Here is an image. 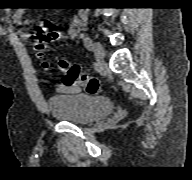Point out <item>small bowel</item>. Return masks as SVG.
<instances>
[{"instance_id": "obj_1", "label": "small bowel", "mask_w": 192, "mask_h": 180, "mask_svg": "<svg viewBox=\"0 0 192 180\" xmlns=\"http://www.w3.org/2000/svg\"><path fill=\"white\" fill-rule=\"evenodd\" d=\"M86 19V15L84 12L80 13L76 17H74L70 28H69V37L71 39H75L79 32L81 31V27ZM13 21L17 25L24 24V11L23 10H17L13 15ZM20 36L23 40H30L32 38V34L28 32H21ZM58 90L62 93H77L80 91V87L78 86H72V85H61Z\"/></svg>"}]
</instances>
